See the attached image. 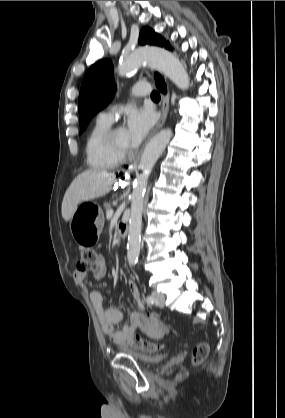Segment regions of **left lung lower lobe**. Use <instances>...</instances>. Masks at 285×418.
<instances>
[{
    "label": "left lung lower lobe",
    "instance_id": "0a47b994",
    "mask_svg": "<svg viewBox=\"0 0 285 418\" xmlns=\"http://www.w3.org/2000/svg\"><path fill=\"white\" fill-rule=\"evenodd\" d=\"M156 85L160 91L162 92L166 91V85H165L164 79L161 76H158L156 78Z\"/></svg>",
    "mask_w": 285,
    "mask_h": 418
}]
</instances>
